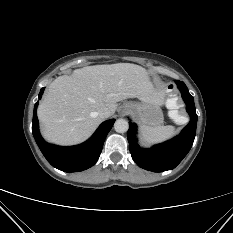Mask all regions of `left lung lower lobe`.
Wrapping results in <instances>:
<instances>
[{"mask_svg": "<svg viewBox=\"0 0 233 233\" xmlns=\"http://www.w3.org/2000/svg\"><path fill=\"white\" fill-rule=\"evenodd\" d=\"M175 82L182 93L187 112L191 117L188 125L178 136L149 149L141 148L136 140L137 126L129 122L127 138L132 159L141 168L149 171L163 172L175 168L191 149L196 135L197 114L193 96L184 82L179 80H175Z\"/></svg>", "mask_w": 233, "mask_h": 233, "instance_id": "0a47b994", "label": "left lung lower lobe"}]
</instances>
